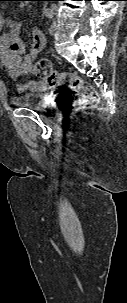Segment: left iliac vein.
<instances>
[{"label": "left iliac vein", "instance_id": "left-iliac-vein-1", "mask_svg": "<svg viewBox=\"0 0 127 303\" xmlns=\"http://www.w3.org/2000/svg\"><path fill=\"white\" fill-rule=\"evenodd\" d=\"M57 31V23L56 21H53L49 27V32L51 35H55Z\"/></svg>", "mask_w": 127, "mask_h": 303}]
</instances>
